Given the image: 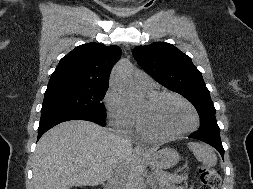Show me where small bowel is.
Returning <instances> with one entry per match:
<instances>
[{"instance_id":"small-bowel-1","label":"small bowel","mask_w":253,"mask_h":189,"mask_svg":"<svg viewBox=\"0 0 253 189\" xmlns=\"http://www.w3.org/2000/svg\"><path fill=\"white\" fill-rule=\"evenodd\" d=\"M175 189H191V188L184 187V186H179V187H176Z\"/></svg>"}]
</instances>
